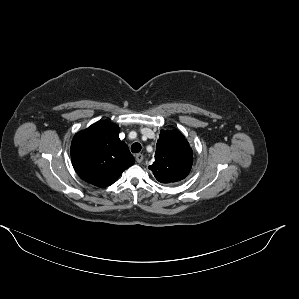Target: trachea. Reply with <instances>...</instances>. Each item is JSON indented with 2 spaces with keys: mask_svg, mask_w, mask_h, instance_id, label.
Segmentation results:
<instances>
[{
  "mask_svg": "<svg viewBox=\"0 0 299 299\" xmlns=\"http://www.w3.org/2000/svg\"><path fill=\"white\" fill-rule=\"evenodd\" d=\"M131 151L133 153L140 152L141 151V145H140V143H138V142L133 143L132 146H131Z\"/></svg>",
  "mask_w": 299,
  "mask_h": 299,
  "instance_id": "3493384b",
  "label": "trachea"
}]
</instances>
